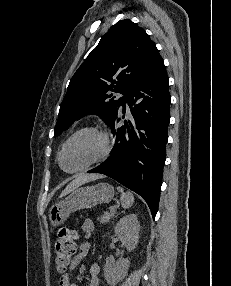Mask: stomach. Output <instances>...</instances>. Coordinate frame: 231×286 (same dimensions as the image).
Segmentation results:
<instances>
[{
	"instance_id": "stomach-1",
	"label": "stomach",
	"mask_w": 231,
	"mask_h": 286,
	"mask_svg": "<svg viewBox=\"0 0 231 286\" xmlns=\"http://www.w3.org/2000/svg\"><path fill=\"white\" fill-rule=\"evenodd\" d=\"M114 193V187L108 183H98L75 189L63 201L50 207L48 217L51 226L56 227L63 224L75 211L110 202Z\"/></svg>"
}]
</instances>
